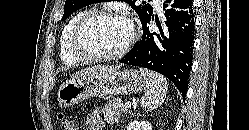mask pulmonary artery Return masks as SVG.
Wrapping results in <instances>:
<instances>
[{
	"label": "pulmonary artery",
	"instance_id": "1",
	"mask_svg": "<svg viewBox=\"0 0 249 130\" xmlns=\"http://www.w3.org/2000/svg\"><path fill=\"white\" fill-rule=\"evenodd\" d=\"M153 2L158 9H161L163 0H153Z\"/></svg>",
	"mask_w": 249,
	"mask_h": 130
}]
</instances>
